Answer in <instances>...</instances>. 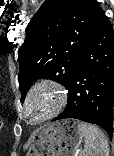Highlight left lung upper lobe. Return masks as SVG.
Returning <instances> with one entry per match:
<instances>
[{"label": "left lung upper lobe", "mask_w": 114, "mask_h": 156, "mask_svg": "<svg viewBox=\"0 0 114 156\" xmlns=\"http://www.w3.org/2000/svg\"><path fill=\"white\" fill-rule=\"evenodd\" d=\"M96 0H46L26 28L18 51L21 101L38 78L68 88L75 63L94 23Z\"/></svg>", "instance_id": "1"}]
</instances>
